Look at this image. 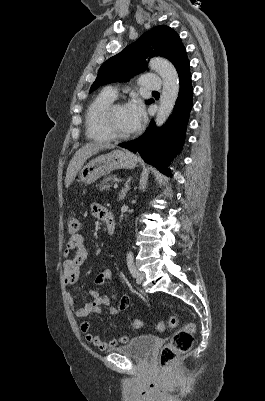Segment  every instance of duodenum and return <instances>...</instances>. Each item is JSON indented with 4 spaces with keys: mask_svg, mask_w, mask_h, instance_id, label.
Segmentation results:
<instances>
[{
    "mask_svg": "<svg viewBox=\"0 0 265 401\" xmlns=\"http://www.w3.org/2000/svg\"><path fill=\"white\" fill-rule=\"evenodd\" d=\"M103 221L106 224L109 235L112 236L115 232V219L113 214L109 210H106L104 212Z\"/></svg>",
    "mask_w": 265,
    "mask_h": 401,
    "instance_id": "1",
    "label": "duodenum"
}]
</instances>
